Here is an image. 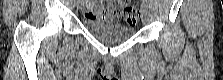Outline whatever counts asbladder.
Here are the masks:
<instances>
[{
	"mask_svg": "<svg viewBox=\"0 0 223 80\" xmlns=\"http://www.w3.org/2000/svg\"><path fill=\"white\" fill-rule=\"evenodd\" d=\"M83 26L95 38L107 42L125 41L135 34L134 28L111 21L85 18Z\"/></svg>",
	"mask_w": 223,
	"mask_h": 80,
	"instance_id": "31cf9c89",
	"label": "bladder"
}]
</instances>
